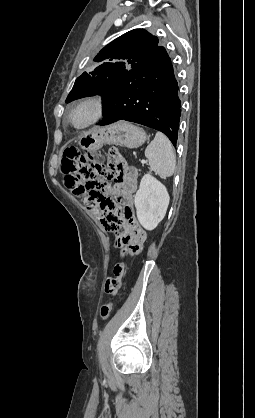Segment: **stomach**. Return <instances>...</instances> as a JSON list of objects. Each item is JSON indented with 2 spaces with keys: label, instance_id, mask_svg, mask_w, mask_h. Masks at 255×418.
Masks as SVG:
<instances>
[{
  "label": "stomach",
  "instance_id": "0dacf381",
  "mask_svg": "<svg viewBox=\"0 0 255 418\" xmlns=\"http://www.w3.org/2000/svg\"><path fill=\"white\" fill-rule=\"evenodd\" d=\"M147 139L145 131L131 123L119 122L106 127H95L85 132L79 140V145L89 151L100 148L103 144L121 145L127 148H137Z\"/></svg>",
  "mask_w": 255,
  "mask_h": 418
}]
</instances>
